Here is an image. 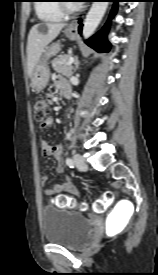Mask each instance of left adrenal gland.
<instances>
[{"instance_id":"a2214340","label":"left adrenal gland","mask_w":158,"mask_h":275,"mask_svg":"<svg viewBox=\"0 0 158 275\" xmlns=\"http://www.w3.org/2000/svg\"><path fill=\"white\" fill-rule=\"evenodd\" d=\"M74 63H75V68H74V71H77L78 67H79V60H78V57H75L74 59Z\"/></svg>"}]
</instances>
